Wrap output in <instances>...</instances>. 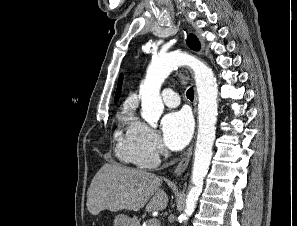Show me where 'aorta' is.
<instances>
[{"label":"aorta","instance_id":"obj_1","mask_svg":"<svg viewBox=\"0 0 297 226\" xmlns=\"http://www.w3.org/2000/svg\"><path fill=\"white\" fill-rule=\"evenodd\" d=\"M180 66H189L194 71L198 92V135L194 152L191 182L192 188L186 197L184 221L192 215L202 192L204 178L207 175L212 148L216 137L217 122V81L211 68L196 57L182 52H171L155 58L147 69L146 78L140 86L141 116L152 127H157L164 105L160 97V88L169 74Z\"/></svg>","mask_w":297,"mask_h":226}]
</instances>
